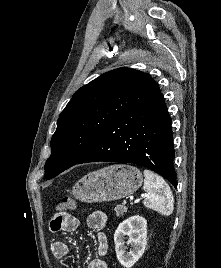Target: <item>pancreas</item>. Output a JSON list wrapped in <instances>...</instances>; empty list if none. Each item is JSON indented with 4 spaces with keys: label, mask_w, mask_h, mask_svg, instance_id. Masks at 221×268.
<instances>
[{
    "label": "pancreas",
    "mask_w": 221,
    "mask_h": 268,
    "mask_svg": "<svg viewBox=\"0 0 221 268\" xmlns=\"http://www.w3.org/2000/svg\"><path fill=\"white\" fill-rule=\"evenodd\" d=\"M114 210H115L117 217H121L124 215V213L127 212V208L122 205H117Z\"/></svg>",
    "instance_id": "1"
}]
</instances>
